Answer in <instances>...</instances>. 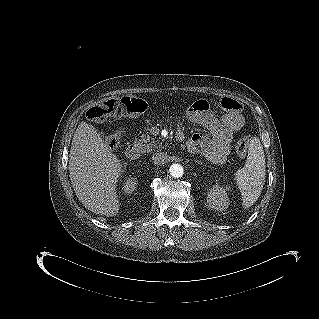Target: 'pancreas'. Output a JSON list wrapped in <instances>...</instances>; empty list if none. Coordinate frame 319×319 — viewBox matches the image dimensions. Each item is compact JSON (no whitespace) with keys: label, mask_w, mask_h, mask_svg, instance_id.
Here are the masks:
<instances>
[{"label":"pancreas","mask_w":319,"mask_h":319,"mask_svg":"<svg viewBox=\"0 0 319 319\" xmlns=\"http://www.w3.org/2000/svg\"><path fill=\"white\" fill-rule=\"evenodd\" d=\"M136 143L143 153H149L158 148V143L149 135H142L141 139L136 140Z\"/></svg>","instance_id":"cf45deb5"}]
</instances>
